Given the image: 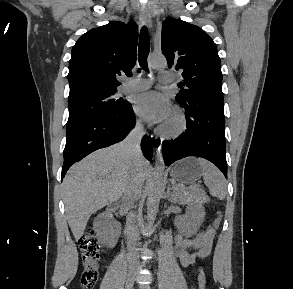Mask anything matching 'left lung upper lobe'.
<instances>
[{"instance_id": "1", "label": "left lung upper lobe", "mask_w": 293, "mask_h": 289, "mask_svg": "<svg viewBox=\"0 0 293 289\" xmlns=\"http://www.w3.org/2000/svg\"><path fill=\"white\" fill-rule=\"evenodd\" d=\"M161 43L168 67L182 73L177 102L204 99L223 105L221 61L211 37L198 26L167 18Z\"/></svg>"}]
</instances>
